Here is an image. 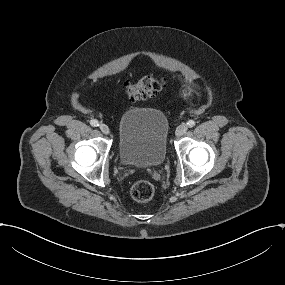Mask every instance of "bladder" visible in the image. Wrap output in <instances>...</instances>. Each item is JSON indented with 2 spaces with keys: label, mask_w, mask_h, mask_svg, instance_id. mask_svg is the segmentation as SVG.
<instances>
[{
  "label": "bladder",
  "mask_w": 285,
  "mask_h": 285,
  "mask_svg": "<svg viewBox=\"0 0 285 285\" xmlns=\"http://www.w3.org/2000/svg\"><path fill=\"white\" fill-rule=\"evenodd\" d=\"M118 157L134 167L162 165L167 154L168 120L155 108H132L118 122Z\"/></svg>",
  "instance_id": "1"
}]
</instances>
